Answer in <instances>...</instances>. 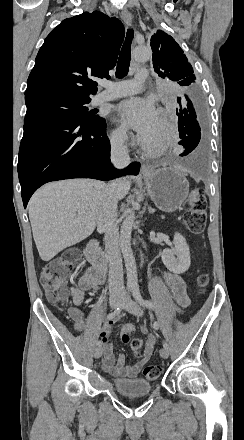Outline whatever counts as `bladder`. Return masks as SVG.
<instances>
[{
  "label": "bladder",
  "mask_w": 244,
  "mask_h": 440,
  "mask_svg": "<svg viewBox=\"0 0 244 440\" xmlns=\"http://www.w3.org/2000/svg\"><path fill=\"white\" fill-rule=\"evenodd\" d=\"M114 390L127 396L148 394L152 391V384L146 382L145 378H113Z\"/></svg>",
  "instance_id": "bladder-1"
}]
</instances>
